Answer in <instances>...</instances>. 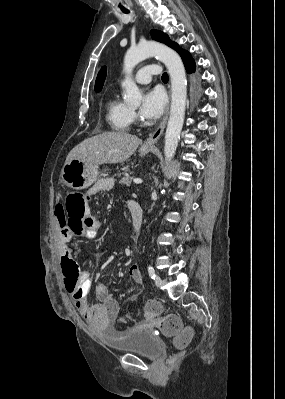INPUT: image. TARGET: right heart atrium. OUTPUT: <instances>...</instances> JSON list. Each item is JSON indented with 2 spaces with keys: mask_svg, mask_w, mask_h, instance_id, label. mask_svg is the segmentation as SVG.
<instances>
[{
  "mask_svg": "<svg viewBox=\"0 0 285 399\" xmlns=\"http://www.w3.org/2000/svg\"><path fill=\"white\" fill-rule=\"evenodd\" d=\"M131 114H132V120H134L136 118V114L133 111L131 112Z\"/></svg>",
  "mask_w": 285,
  "mask_h": 399,
  "instance_id": "1",
  "label": "right heart atrium"
}]
</instances>
